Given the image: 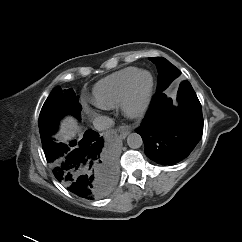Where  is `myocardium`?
I'll use <instances>...</instances> for the list:
<instances>
[{
  "label": "myocardium",
  "mask_w": 242,
  "mask_h": 242,
  "mask_svg": "<svg viewBox=\"0 0 242 242\" xmlns=\"http://www.w3.org/2000/svg\"><path fill=\"white\" fill-rule=\"evenodd\" d=\"M142 74H147L149 82L140 97L135 95L136 81ZM154 89V77L147 70H138L130 79L120 102L123 114L131 119L142 117L148 110Z\"/></svg>",
  "instance_id": "obj_1"
}]
</instances>
